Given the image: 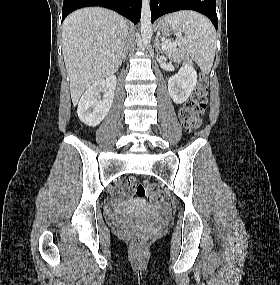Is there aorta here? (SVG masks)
Instances as JSON below:
<instances>
[{"instance_id":"762f6f07","label":"aorta","mask_w":280,"mask_h":285,"mask_svg":"<svg viewBox=\"0 0 280 285\" xmlns=\"http://www.w3.org/2000/svg\"><path fill=\"white\" fill-rule=\"evenodd\" d=\"M141 37L144 47H147L152 37L150 1L143 0L141 9Z\"/></svg>"}]
</instances>
